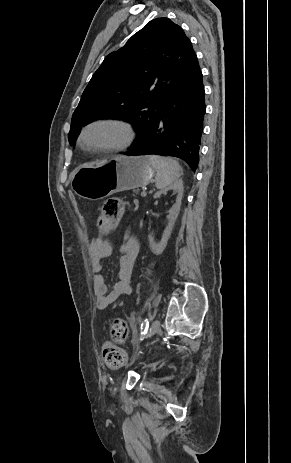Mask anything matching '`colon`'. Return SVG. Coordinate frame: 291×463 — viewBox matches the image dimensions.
I'll return each instance as SVG.
<instances>
[{
  "label": "colon",
  "mask_w": 291,
  "mask_h": 463,
  "mask_svg": "<svg viewBox=\"0 0 291 463\" xmlns=\"http://www.w3.org/2000/svg\"><path fill=\"white\" fill-rule=\"evenodd\" d=\"M122 210V202L119 199L107 200L98 213V231L101 233L113 231ZM126 335V324L121 320L115 321L112 326V337L115 341H106L102 347V358L107 367L119 368L125 363L126 354L116 342L123 341Z\"/></svg>",
  "instance_id": "obj_1"
}]
</instances>
